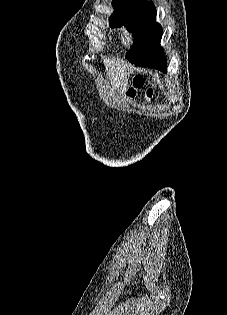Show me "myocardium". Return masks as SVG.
<instances>
[{
    "label": "myocardium",
    "mask_w": 227,
    "mask_h": 315,
    "mask_svg": "<svg viewBox=\"0 0 227 315\" xmlns=\"http://www.w3.org/2000/svg\"><path fill=\"white\" fill-rule=\"evenodd\" d=\"M133 36H132V33L128 30H125L123 32V42L126 44V45H130L133 43Z\"/></svg>",
    "instance_id": "f54148a6"
}]
</instances>
